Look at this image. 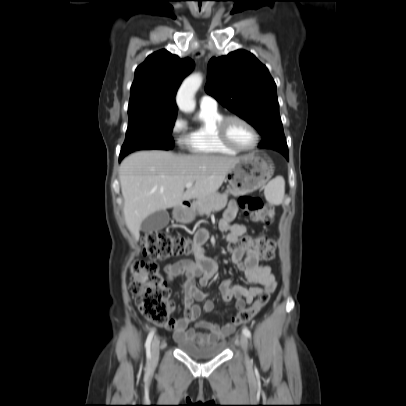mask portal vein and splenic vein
<instances>
[{"label":"portal vein and splenic vein","mask_w":406,"mask_h":406,"mask_svg":"<svg viewBox=\"0 0 406 406\" xmlns=\"http://www.w3.org/2000/svg\"><path fill=\"white\" fill-rule=\"evenodd\" d=\"M186 188H191L192 186H193V183L192 182H188V183H186Z\"/></svg>","instance_id":"obj_1"}]
</instances>
